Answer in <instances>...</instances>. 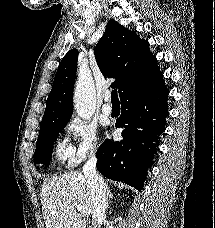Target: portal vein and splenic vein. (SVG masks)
Segmentation results:
<instances>
[{
  "mask_svg": "<svg viewBox=\"0 0 215 228\" xmlns=\"http://www.w3.org/2000/svg\"><path fill=\"white\" fill-rule=\"evenodd\" d=\"M73 206L76 208V210H79L82 216H88L89 212H87V210H84V208H81V206H78V204H73Z\"/></svg>",
  "mask_w": 215,
  "mask_h": 228,
  "instance_id": "portal-vein-and-splenic-vein-1",
  "label": "portal vein and splenic vein"
}]
</instances>
